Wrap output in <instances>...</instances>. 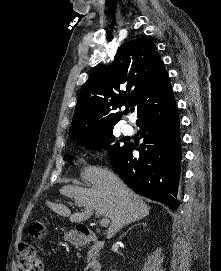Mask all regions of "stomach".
<instances>
[{
    "mask_svg": "<svg viewBox=\"0 0 221 271\" xmlns=\"http://www.w3.org/2000/svg\"><path fill=\"white\" fill-rule=\"evenodd\" d=\"M66 238H81V233H76L75 230H68L65 234Z\"/></svg>",
    "mask_w": 221,
    "mask_h": 271,
    "instance_id": "0dacf381",
    "label": "stomach"
}]
</instances>
